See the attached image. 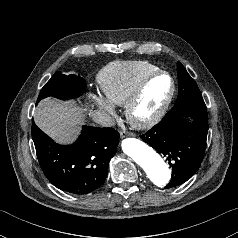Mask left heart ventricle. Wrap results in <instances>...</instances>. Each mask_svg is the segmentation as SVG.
Masks as SVG:
<instances>
[{
  "instance_id": "1",
  "label": "left heart ventricle",
  "mask_w": 238,
  "mask_h": 238,
  "mask_svg": "<svg viewBox=\"0 0 238 238\" xmlns=\"http://www.w3.org/2000/svg\"><path fill=\"white\" fill-rule=\"evenodd\" d=\"M169 91L170 82L167 77L152 80L135 108V117L146 119L154 115L164 103Z\"/></svg>"
}]
</instances>
